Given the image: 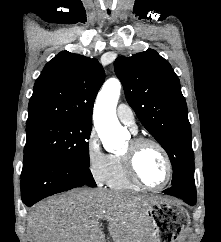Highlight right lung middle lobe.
<instances>
[{
	"label": "right lung middle lobe",
	"mask_w": 221,
	"mask_h": 242,
	"mask_svg": "<svg viewBox=\"0 0 221 242\" xmlns=\"http://www.w3.org/2000/svg\"><path fill=\"white\" fill-rule=\"evenodd\" d=\"M92 122L64 120L49 121L26 127L24 156L52 155L89 167L88 140Z\"/></svg>",
	"instance_id": "1"
}]
</instances>
